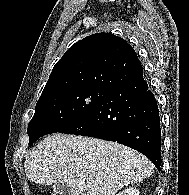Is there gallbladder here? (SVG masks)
I'll list each match as a JSON object with an SVG mask.
<instances>
[{
  "label": "gallbladder",
  "instance_id": "gallbladder-1",
  "mask_svg": "<svg viewBox=\"0 0 189 195\" xmlns=\"http://www.w3.org/2000/svg\"><path fill=\"white\" fill-rule=\"evenodd\" d=\"M53 191L57 193L58 195H70V188L66 183L62 182H57L54 183L53 186Z\"/></svg>",
  "mask_w": 189,
  "mask_h": 195
}]
</instances>
